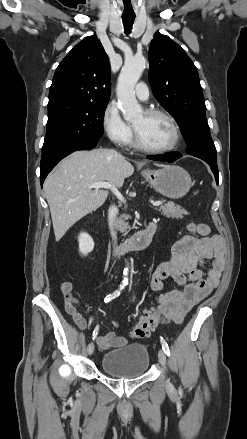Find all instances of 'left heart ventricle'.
<instances>
[{"mask_svg":"<svg viewBox=\"0 0 247 439\" xmlns=\"http://www.w3.org/2000/svg\"><path fill=\"white\" fill-rule=\"evenodd\" d=\"M143 143L149 147L162 148L171 144L173 129L163 116L148 117L142 113L133 123Z\"/></svg>","mask_w":247,"mask_h":439,"instance_id":"b2bd125f","label":"left heart ventricle"}]
</instances>
